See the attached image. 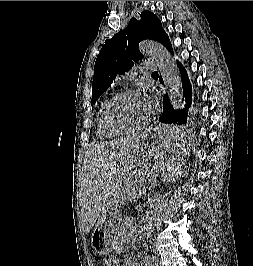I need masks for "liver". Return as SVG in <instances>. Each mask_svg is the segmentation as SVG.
<instances>
[{
    "instance_id": "obj_1",
    "label": "liver",
    "mask_w": 253,
    "mask_h": 266,
    "mask_svg": "<svg viewBox=\"0 0 253 266\" xmlns=\"http://www.w3.org/2000/svg\"><path fill=\"white\" fill-rule=\"evenodd\" d=\"M145 136L120 138L115 141L96 144L86 154L83 184V225L85 233L104 211L108 199L109 183L119 163L131 155Z\"/></svg>"
}]
</instances>
